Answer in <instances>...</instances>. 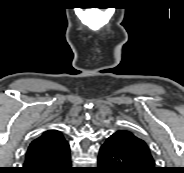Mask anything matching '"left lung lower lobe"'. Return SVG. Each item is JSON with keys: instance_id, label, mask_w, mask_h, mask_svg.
I'll list each match as a JSON object with an SVG mask.
<instances>
[{"instance_id": "obj_1", "label": "left lung lower lobe", "mask_w": 184, "mask_h": 173, "mask_svg": "<svg viewBox=\"0 0 184 173\" xmlns=\"http://www.w3.org/2000/svg\"><path fill=\"white\" fill-rule=\"evenodd\" d=\"M99 173H158L139 165L124 147L123 133H113L100 147L98 156Z\"/></svg>"}]
</instances>
